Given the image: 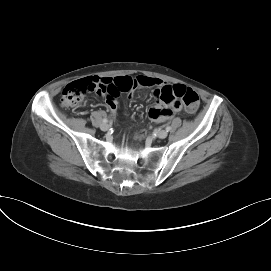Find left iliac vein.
<instances>
[{"label": "left iliac vein", "mask_w": 271, "mask_h": 271, "mask_svg": "<svg viewBox=\"0 0 271 271\" xmlns=\"http://www.w3.org/2000/svg\"><path fill=\"white\" fill-rule=\"evenodd\" d=\"M156 134H157V137L160 138V139H164L168 135L167 131H165V130H158L156 132Z\"/></svg>", "instance_id": "4c4485c4"}]
</instances>
